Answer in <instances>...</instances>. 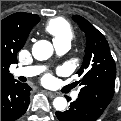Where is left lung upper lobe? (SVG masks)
I'll return each instance as SVG.
<instances>
[{"instance_id":"obj_1","label":"left lung upper lobe","mask_w":121,"mask_h":121,"mask_svg":"<svg viewBox=\"0 0 121 121\" xmlns=\"http://www.w3.org/2000/svg\"><path fill=\"white\" fill-rule=\"evenodd\" d=\"M73 19L85 32L87 42L84 61L77 74L82 76L79 98L105 109L114 95L116 65L111 56L109 45L90 22L81 16Z\"/></svg>"}]
</instances>
